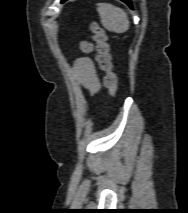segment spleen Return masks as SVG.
<instances>
[{
	"instance_id": "1",
	"label": "spleen",
	"mask_w": 188,
	"mask_h": 213,
	"mask_svg": "<svg viewBox=\"0 0 188 213\" xmlns=\"http://www.w3.org/2000/svg\"><path fill=\"white\" fill-rule=\"evenodd\" d=\"M97 6L101 23L108 31L124 33L129 29V19L123 9L109 3H98Z\"/></svg>"
}]
</instances>
